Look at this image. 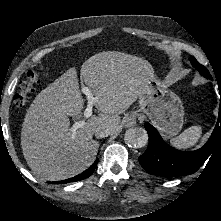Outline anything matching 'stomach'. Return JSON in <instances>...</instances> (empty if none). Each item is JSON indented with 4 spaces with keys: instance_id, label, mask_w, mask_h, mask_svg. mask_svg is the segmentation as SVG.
I'll use <instances>...</instances> for the list:
<instances>
[{
    "instance_id": "0dacf381",
    "label": "stomach",
    "mask_w": 221,
    "mask_h": 221,
    "mask_svg": "<svg viewBox=\"0 0 221 221\" xmlns=\"http://www.w3.org/2000/svg\"><path fill=\"white\" fill-rule=\"evenodd\" d=\"M140 112H143L158 128L164 138L177 135L184 123V107L181 99L164 88L155 76L148 78L138 97Z\"/></svg>"
}]
</instances>
